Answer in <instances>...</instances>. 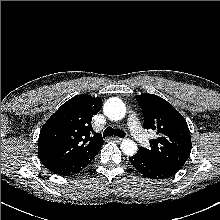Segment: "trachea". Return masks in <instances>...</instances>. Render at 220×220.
<instances>
[{
	"label": "trachea",
	"instance_id": "3493384b",
	"mask_svg": "<svg viewBox=\"0 0 220 220\" xmlns=\"http://www.w3.org/2000/svg\"><path fill=\"white\" fill-rule=\"evenodd\" d=\"M113 135L123 138L125 137L126 134L124 131L119 130V129H114L110 126L104 130V133H103L104 137L113 136Z\"/></svg>",
	"mask_w": 220,
	"mask_h": 220
}]
</instances>
